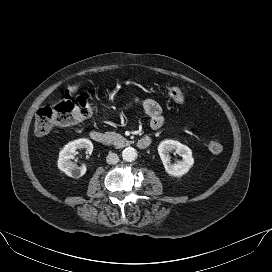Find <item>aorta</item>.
Wrapping results in <instances>:
<instances>
[{
	"instance_id": "1",
	"label": "aorta",
	"mask_w": 272,
	"mask_h": 272,
	"mask_svg": "<svg viewBox=\"0 0 272 272\" xmlns=\"http://www.w3.org/2000/svg\"><path fill=\"white\" fill-rule=\"evenodd\" d=\"M137 157V152L132 147H127L122 152V158L124 161L131 162Z\"/></svg>"
}]
</instances>
